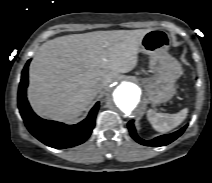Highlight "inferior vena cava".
<instances>
[{
    "instance_id": "602c4592",
    "label": "inferior vena cava",
    "mask_w": 212,
    "mask_h": 183,
    "mask_svg": "<svg viewBox=\"0 0 212 183\" xmlns=\"http://www.w3.org/2000/svg\"><path fill=\"white\" fill-rule=\"evenodd\" d=\"M104 88V85L103 84H98L96 87H95V89H96V91H101L102 89Z\"/></svg>"
}]
</instances>
